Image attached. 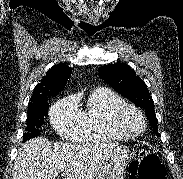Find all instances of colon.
Masks as SVG:
<instances>
[{"instance_id":"obj_1","label":"colon","mask_w":183,"mask_h":179,"mask_svg":"<svg viewBox=\"0 0 183 179\" xmlns=\"http://www.w3.org/2000/svg\"><path fill=\"white\" fill-rule=\"evenodd\" d=\"M130 179H166V170L159 157L142 150L130 165Z\"/></svg>"}]
</instances>
